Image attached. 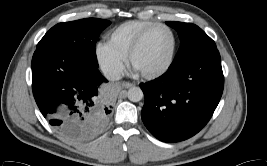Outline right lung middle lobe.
<instances>
[{
	"instance_id": "1",
	"label": "right lung middle lobe",
	"mask_w": 267,
	"mask_h": 166,
	"mask_svg": "<svg viewBox=\"0 0 267 166\" xmlns=\"http://www.w3.org/2000/svg\"><path fill=\"white\" fill-rule=\"evenodd\" d=\"M110 21L87 18L59 23L52 27L40 40L37 48L52 46L66 51L86 63L98 67L95 43Z\"/></svg>"
}]
</instances>
